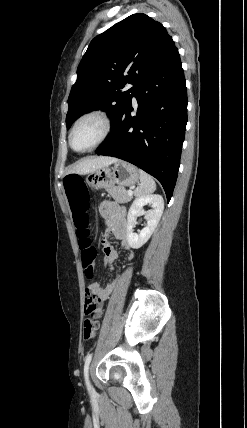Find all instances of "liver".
Returning a JSON list of instances; mask_svg holds the SVG:
<instances>
[{
  "mask_svg": "<svg viewBox=\"0 0 247 428\" xmlns=\"http://www.w3.org/2000/svg\"><path fill=\"white\" fill-rule=\"evenodd\" d=\"M118 159L114 157L108 156H99L87 158L76 164L69 173H77V174H89L99 168L104 166H109L112 163L117 162Z\"/></svg>",
  "mask_w": 247,
  "mask_h": 428,
  "instance_id": "1",
  "label": "liver"
}]
</instances>
